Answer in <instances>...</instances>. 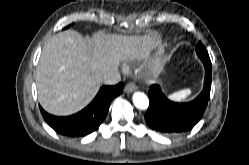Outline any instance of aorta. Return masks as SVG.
<instances>
[{
	"instance_id": "aorta-1",
	"label": "aorta",
	"mask_w": 249,
	"mask_h": 165,
	"mask_svg": "<svg viewBox=\"0 0 249 165\" xmlns=\"http://www.w3.org/2000/svg\"><path fill=\"white\" fill-rule=\"evenodd\" d=\"M136 108L144 110L149 106V99L143 92H135L132 97Z\"/></svg>"
}]
</instances>
